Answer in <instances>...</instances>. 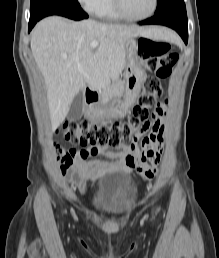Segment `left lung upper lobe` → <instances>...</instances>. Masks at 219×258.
<instances>
[{
  "instance_id": "1",
  "label": "left lung upper lobe",
  "mask_w": 219,
  "mask_h": 258,
  "mask_svg": "<svg viewBox=\"0 0 219 258\" xmlns=\"http://www.w3.org/2000/svg\"><path fill=\"white\" fill-rule=\"evenodd\" d=\"M170 10H186L184 0H157V9L154 15Z\"/></svg>"
}]
</instances>
